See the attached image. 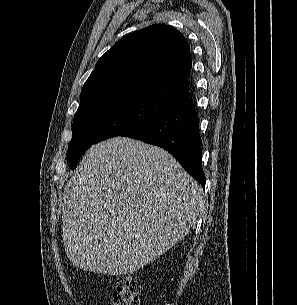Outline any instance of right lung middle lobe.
Returning <instances> with one entry per match:
<instances>
[{
	"mask_svg": "<svg viewBox=\"0 0 297 305\" xmlns=\"http://www.w3.org/2000/svg\"><path fill=\"white\" fill-rule=\"evenodd\" d=\"M172 105L146 95H121L79 108L74 115L73 137L67 159L73 169L93 144L135 129Z\"/></svg>",
	"mask_w": 297,
	"mask_h": 305,
	"instance_id": "1",
	"label": "right lung middle lobe"
}]
</instances>
